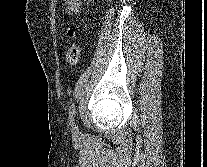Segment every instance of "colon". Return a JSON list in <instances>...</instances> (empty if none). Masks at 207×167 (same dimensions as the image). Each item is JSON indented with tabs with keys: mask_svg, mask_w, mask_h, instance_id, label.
<instances>
[{
	"mask_svg": "<svg viewBox=\"0 0 207 167\" xmlns=\"http://www.w3.org/2000/svg\"><path fill=\"white\" fill-rule=\"evenodd\" d=\"M68 37L75 39L77 36V31L75 28L68 29ZM80 58V47L78 43L74 42L66 52V64L69 66H74L78 63Z\"/></svg>",
	"mask_w": 207,
	"mask_h": 167,
	"instance_id": "1",
	"label": "colon"
}]
</instances>
